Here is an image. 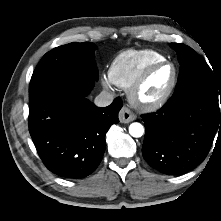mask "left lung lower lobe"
Masks as SVG:
<instances>
[{"label": "left lung lower lobe", "instance_id": "left-lung-lower-lobe-1", "mask_svg": "<svg viewBox=\"0 0 221 221\" xmlns=\"http://www.w3.org/2000/svg\"><path fill=\"white\" fill-rule=\"evenodd\" d=\"M142 118L146 128L143 157L167 175L197 167L221 132L218 98L198 88L174 92L159 111Z\"/></svg>", "mask_w": 221, "mask_h": 221}]
</instances>
